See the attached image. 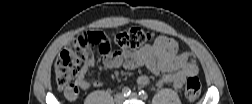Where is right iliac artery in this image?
Masks as SVG:
<instances>
[{
	"mask_svg": "<svg viewBox=\"0 0 252 104\" xmlns=\"http://www.w3.org/2000/svg\"><path fill=\"white\" fill-rule=\"evenodd\" d=\"M130 93H131L130 88L124 87V88L122 89V94H123L125 97H126V96H129Z\"/></svg>",
	"mask_w": 252,
	"mask_h": 104,
	"instance_id": "right-iliac-artery-1",
	"label": "right iliac artery"
}]
</instances>
